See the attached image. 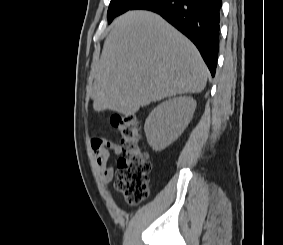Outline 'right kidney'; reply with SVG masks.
Masks as SVG:
<instances>
[{"instance_id": "obj_1", "label": "right kidney", "mask_w": 283, "mask_h": 245, "mask_svg": "<svg viewBox=\"0 0 283 245\" xmlns=\"http://www.w3.org/2000/svg\"><path fill=\"white\" fill-rule=\"evenodd\" d=\"M195 108L196 101L188 96L174 97L155 107L144 126L149 145L159 151L174 142L191 121Z\"/></svg>"}]
</instances>
